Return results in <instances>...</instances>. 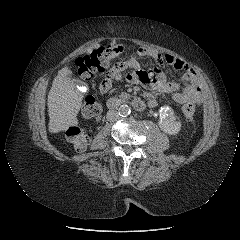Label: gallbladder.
Here are the masks:
<instances>
[{
	"instance_id": "bac80fb5",
	"label": "gallbladder",
	"mask_w": 240,
	"mask_h": 240,
	"mask_svg": "<svg viewBox=\"0 0 240 240\" xmlns=\"http://www.w3.org/2000/svg\"><path fill=\"white\" fill-rule=\"evenodd\" d=\"M73 82L76 84V85H82L83 83L78 80V79H73Z\"/></svg>"
}]
</instances>
